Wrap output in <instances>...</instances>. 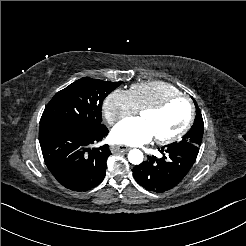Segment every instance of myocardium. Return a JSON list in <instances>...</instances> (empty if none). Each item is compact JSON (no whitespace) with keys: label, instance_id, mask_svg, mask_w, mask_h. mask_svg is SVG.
Returning <instances> with one entry per match:
<instances>
[{"label":"myocardium","instance_id":"1","mask_svg":"<svg viewBox=\"0 0 246 246\" xmlns=\"http://www.w3.org/2000/svg\"><path fill=\"white\" fill-rule=\"evenodd\" d=\"M176 99H184L188 104L189 111H188V116H187L186 122L180 130H178L176 133L172 134L171 136L164 137V138L156 137L155 140L159 144L172 143V142L178 140L180 137H182L190 129L192 122H193V119H194V107H193V103H192L191 99L185 94L177 93L175 95H172V96L162 100L161 102H159L157 104L145 107L142 110H140V112H139V115L141 113H144V112H152V113L160 112Z\"/></svg>","mask_w":246,"mask_h":246}]
</instances>
